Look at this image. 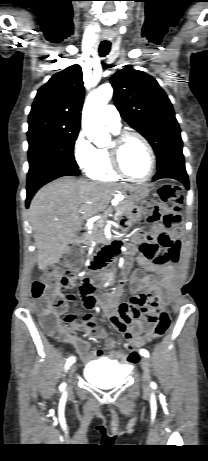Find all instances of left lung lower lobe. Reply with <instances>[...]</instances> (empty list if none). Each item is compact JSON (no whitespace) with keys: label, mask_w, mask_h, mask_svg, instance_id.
Wrapping results in <instances>:
<instances>
[{"label":"left lung lower lobe","mask_w":208,"mask_h":461,"mask_svg":"<svg viewBox=\"0 0 208 461\" xmlns=\"http://www.w3.org/2000/svg\"><path fill=\"white\" fill-rule=\"evenodd\" d=\"M162 178H173L182 182L187 189H189L188 175L185 169L184 157H176L169 160L166 164L161 166L156 175L153 177V181Z\"/></svg>","instance_id":"1"}]
</instances>
